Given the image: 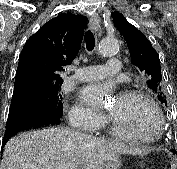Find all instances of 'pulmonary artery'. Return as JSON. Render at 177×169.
<instances>
[{
  "label": "pulmonary artery",
  "mask_w": 177,
  "mask_h": 169,
  "mask_svg": "<svg viewBox=\"0 0 177 169\" xmlns=\"http://www.w3.org/2000/svg\"><path fill=\"white\" fill-rule=\"evenodd\" d=\"M120 67V61L115 57H110L106 65L86 66L77 69L71 79L80 82L98 81L116 74L119 72Z\"/></svg>",
  "instance_id": "pulmonary-artery-1"
}]
</instances>
